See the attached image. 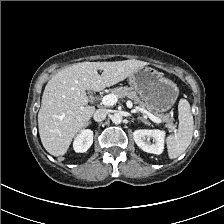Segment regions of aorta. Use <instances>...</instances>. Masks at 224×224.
I'll use <instances>...</instances> for the list:
<instances>
[{
    "instance_id": "aorta-1",
    "label": "aorta",
    "mask_w": 224,
    "mask_h": 224,
    "mask_svg": "<svg viewBox=\"0 0 224 224\" xmlns=\"http://www.w3.org/2000/svg\"><path fill=\"white\" fill-rule=\"evenodd\" d=\"M111 120L114 124H120L122 122V115L120 113H114Z\"/></svg>"
}]
</instances>
